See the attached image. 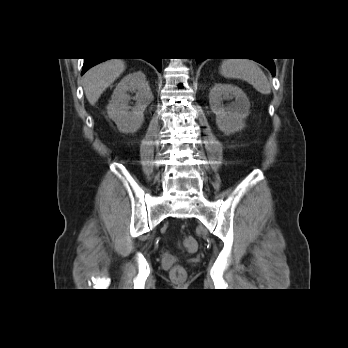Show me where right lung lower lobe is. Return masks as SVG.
Masks as SVG:
<instances>
[{
	"label": "right lung lower lobe",
	"mask_w": 348,
	"mask_h": 348,
	"mask_svg": "<svg viewBox=\"0 0 348 348\" xmlns=\"http://www.w3.org/2000/svg\"><path fill=\"white\" fill-rule=\"evenodd\" d=\"M151 64H153L158 71H161V59L160 58H153V59H146ZM104 61V59L99 58H86L84 59V65L82 69V75L92 66Z\"/></svg>",
	"instance_id": "right-lung-lower-lobe-1"
}]
</instances>
